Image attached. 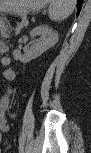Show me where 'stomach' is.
Wrapping results in <instances>:
<instances>
[{
	"label": "stomach",
	"mask_w": 91,
	"mask_h": 153,
	"mask_svg": "<svg viewBox=\"0 0 91 153\" xmlns=\"http://www.w3.org/2000/svg\"><path fill=\"white\" fill-rule=\"evenodd\" d=\"M3 5H7V4H15L16 7L14 8V11L20 12L26 9H29L30 7L33 6H38L44 3V1H40V0H19V1H15V2H10V1H2Z\"/></svg>",
	"instance_id": "0dacf381"
}]
</instances>
